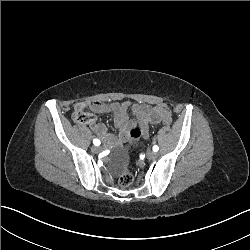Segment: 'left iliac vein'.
I'll list each match as a JSON object with an SVG mask.
<instances>
[{
    "label": "left iliac vein",
    "mask_w": 250,
    "mask_h": 250,
    "mask_svg": "<svg viewBox=\"0 0 250 250\" xmlns=\"http://www.w3.org/2000/svg\"><path fill=\"white\" fill-rule=\"evenodd\" d=\"M157 156H158V154L156 152H154V151H148L147 152V158L149 160H153V159L157 158Z\"/></svg>",
    "instance_id": "left-iliac-vein-1"
}]
</instances>
